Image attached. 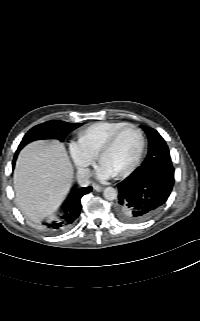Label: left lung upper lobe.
Wrapping results in <instances>:
<instances>
[{
    "mask_svg": "<svg viewBox=\"0 0 200 321\" xmlns=\"http://www.w3.org/2000/svg\"><path fill=\"white\" fill-rule=\"evenodd\" d=\"M149 140L148 154L142 165L172 164L170 152L165 140L153 128L141 125Z\"/></svg>",
    "mask_w": 200,
    "mask_h": 321,
    "instance_id": "obj_1",
    "label": "left lung upper lobe"
}]
</instances>
